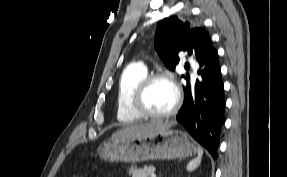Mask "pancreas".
<instances>
[{
    "label": "pancreas",
    "instance_id": "cf45deb5",
    "mask_svg": "<svg viewBox=\"0 0 287 177\" xmlns=\"http://www.w3.org/2000/svg\"><path fill=\"white\" fill-rule=\"evenodd\" d=\"M154 172L155 168L153 166H144L140 169L137 167H130L128 169V174L132 177H149Z\"/></svg>",
    "mask_w": 287,
    "mask_h": 177
}]
</instances>
